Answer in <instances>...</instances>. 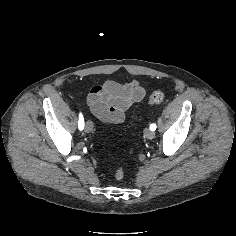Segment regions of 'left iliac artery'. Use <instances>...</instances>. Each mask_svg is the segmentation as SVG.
<instances>
[{"instance_id": "44dca946", "label": "left iliac artery", "mask_w": 236, "mask_h": 236, "mask_svg": "<svg viewBox=\"0 0 236 236\" xmlns=\"http://www.w3.org/2000/svg\"><path fill=\"white\" fill-rule=\"evenodd\" d=\"M156 127H157L156 124L153 123L150 125V130L155 131Z\"/></svg>"}]
</instances>
